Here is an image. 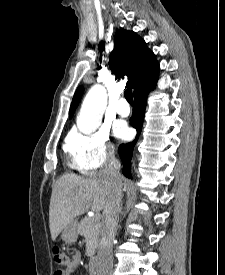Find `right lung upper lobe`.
I'll use <instances>...</instances> for the list:
<instances>
[{"label":"right lung upper lobe","mask_w":225,"mask_h":275,"mask_svg":"<svg viewBox=\"0 0 225 275\" xmlns=\"http://www.w3.org/2000/svg\"><path fill=\"white\" fill-rule=\"evenodd\" d=\"M109 65L118 77L128 76L126 86L134 89V95L159 72L155 55L148 49L145 41L135 32L123 29L114 36V49L109 56ZM82 94L83 87L80 86L70 106V117L74 114Z\"/></svg>","instance_id":"1"}]
</instances>
